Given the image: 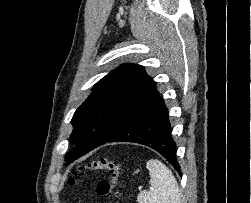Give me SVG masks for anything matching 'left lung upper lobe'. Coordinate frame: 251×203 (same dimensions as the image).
<instances>
[{"mask_svg":"<svg viewBox=\"0 0 251 203\" xmlns=\"http://www.w3.org/2000/svg\"><path fill=\"white\" fill-rule=\"evenodd\" d=\"M159 96L155 82L137 64H125L95 84L93 92L75 111L67 164L104 144ZM66 164V165H67Z\"/></svg>","mask_w":251,"mask_h":203,"instance_id":"left-lung-upper-lobe-1","label":"left lung upper lobe"}]
</instances>
